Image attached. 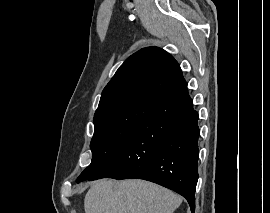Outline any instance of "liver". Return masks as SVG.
Masks as SVG:
<instances>
[{
	"label": "liver",
	"instance_id": "obj_1",
	"mask_svg": "<svg viewBox=\"0 0 270 213\" xmlns=\"http://www.w3.org/2000/svg\"><path fill=\"white\" fill-rule=\"evenodd\" d=\"M182 198L142 180H101L85 195V213H173Z\"/></svg>",
	"mask_w": 270,
	"mask_h": 213
}]
</instances>
